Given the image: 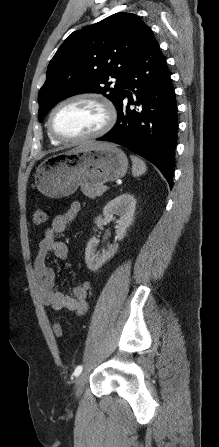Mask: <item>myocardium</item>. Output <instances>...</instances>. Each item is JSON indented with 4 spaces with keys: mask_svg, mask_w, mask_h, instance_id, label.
<instances>
[{
    "mask_svg": "<svg viewBox=\"0 0 219 447\" xmlns=\"http://www.w3.org/2000/svg\"><path fill=\"white\" fill-rule=\"evenodd\" d=\"M77 101H89L99 105L104 112V122L99 129L85 136L76 138H68L61 136L54 130L53 127L54 115L61 107ZM116 119H117V112L115 106L107 97L94 92H80L64 98L54 106L47 120V129L49 134L59 142L82 143L85 141L99 138L108 133L114 126Z\"/></svg>",
    "mask_w": 219,
    "mask_h": 447,
    "instance_id": "f54148a6",
    "label": "myocardium"
}]
</instances>
